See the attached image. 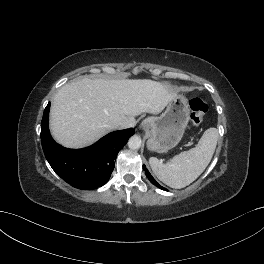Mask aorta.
I'll return each instance as SVG.
<instances>
[{
  "label": "aorta",
  "instance_id": "1",
  "mask_svg": "<svg viewBox=\"0 0 264 264\" xmlns=\"http://www.w3.org/2000/svg\"><path fill=\"white\" fill-rule=\"evenodd\" d=\"M141 146V138L138 135L132 136L128 141V147L132 150L139 149Z\"/></svg>",
  "mask_w": 264,
  "mask_h": 264
}]
</instances>
